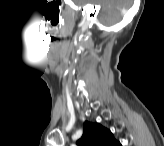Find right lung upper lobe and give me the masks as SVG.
<instances>
[{
	"label": "right lung upper lobe",
	"mask_w": 164,
	"mask_h": 146,
	"mask_svg": "<svg viewBox=\"0 0 164 146\" xmlns=\"http://www.w3.org/2000/svg\"><path fill=\"white\" fill-rule=\"evenodd\" d=\"M80 146H120L110 130L102 127L99 123H84L83 135L77 141Z\"/></svg>",
	"instance_id": "obj_1"
}]
</instances>
